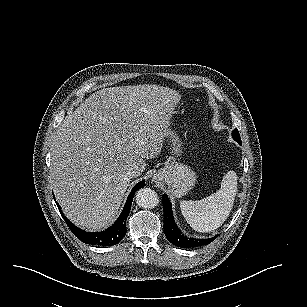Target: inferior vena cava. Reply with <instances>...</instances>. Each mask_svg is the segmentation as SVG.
<instances>
[{
  "label": "inferior vena cava",
  "instance_id": "inferior-vena-cava-1",
  "mask_svg": "<svg viewBox=\"0 0 307 307\" xmlns=\"http://www.w3.org/2000/svg\"><path fill=\"white\" fill-rule=\"evenodd\" d=\"M127 176L129 178H134L136 176V172H134V171L128 172Z\"/></svg>",
  "mask_w": 307,
  "mask_h": 307
}]
</instances>
